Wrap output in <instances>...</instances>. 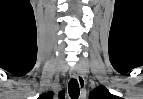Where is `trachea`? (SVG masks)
Instances as JSON below:
<instances>
[{"instance_id":"1","label":"trachea","mask_w":143,"mask_h":99,"mask_svg":"<svg viewBox=\"0 0 143 99\" xmlns=\"http://www.w3.org/2000/svg\"><path fill=\"white\" fill-rule=\"evenodd\" d=\"M68 93L72 99H78L80 89H79V84L76 79H70L69 84H68Z\"/></svg>"}]
</instances>
